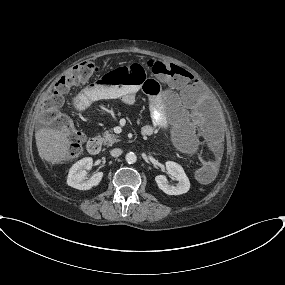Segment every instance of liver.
<instances>
[{
	"mask_svg": "<svg viewBox=\"0 0 285 285\" xmlns=\"http://www.w3.org/2000/svg\"><path fill=\"white\" fill-rule=\"evenodd\" d=\"M70 132L66 127L53 129L50 127L40 128L35 133L36 145L41 159L59 164L69 158Z\"/></svg>",
	"mask_w": 285,
	"mask_h": 285,
	"instance_id": "obj_1",
	"label": "liver"
}]
</instances>
